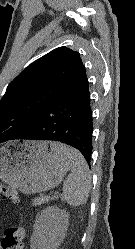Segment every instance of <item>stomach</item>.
<instances>
[{"label":"stomach","instance_id":"stomach-1","mask_svg":"<svg viewBox=\"0 0 135 249\" xmlns=\"http://www.w3.org/2000/svg\"><path fill=\"white\" fill-rule=\"evenodd\" d=\"M47 141H15L0 148V179L24 194L57 186L69 170V162Z\"/></svg>","mask_w":135,"mask_h":249}]
</instances>
